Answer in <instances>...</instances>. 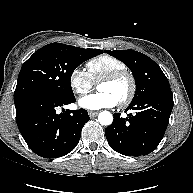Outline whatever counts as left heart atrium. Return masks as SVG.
I'll return each instance as SVG.
<instances>
[{"instance_id": "39dd6f15", "label": "left heart atrium", "mask_w": 193, "mask_h": 193, "mask_svg": "<svg viewBox=\"0 0 193 193\" xmlns=\"http://www.w3.org/2000/svg\"><path fill=\"white\" fill-rule=\"evenodd\" d=\"M118 104L117 100L107 92H97L81 97L78 105L86 110H100L112 108Z\"/></svg>"}]
</instances>
